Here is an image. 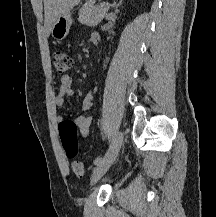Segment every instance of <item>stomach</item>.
Listing matches in <instances>:
<instances>
[{"mask_svg":"<svg viewBox=\"0 0 216 217\" xmlns=\"http://www.w3.org/2000/svg\"><path fill=\"white\" fill-rule=\"evenodd\" d=\"M80 3L81 0H67L52 25L51 34L54 39L61 41L66 38L72 24L71 10Z\"/></svg>","mask_w":216,"mask_h":217,"instance_id":"stomach-1","label":"stomach"}]
</instances>
